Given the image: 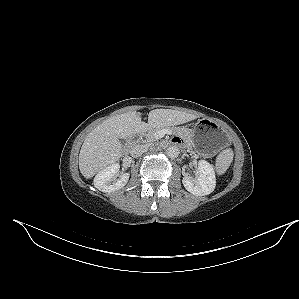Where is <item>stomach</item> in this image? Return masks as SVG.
<instances>
[{
	"instance_id": "stomach-1",
	"label": "stomach",
	"mask_w": 299,
	"mask_h": 299,
	"mask_svg": "<svg viewBox=\"0 0 299 299\" xmlns=\"http://www.w3.org/2000/svg\"><path fill=\"white\" fill-rule=\"evenodd\" d=\"M188 138L195 150L204 156H213L228 143L225 130L206 118L197 121L194 128L189 131Z\"/></svg>"
}]
</instances>
